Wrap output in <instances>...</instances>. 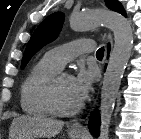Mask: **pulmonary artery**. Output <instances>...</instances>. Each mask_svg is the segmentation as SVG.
Here are the masks:
<instances>
[{"label": "pulmonary artery", "instance_id": "1", "mask_svg": "<svg viewBox=\"0 0 141 139\" xmlns=\"http://www.w3.org/2000/svg\"><path fill=\"white\" fill-rule=\"evenodd\" d=\"M94 49V41L81 39L55 47L49 50L44 57L61 69L76 56L83 53H90Z\"/></svg>", "mask_w": 141, "mask_h": 139}]
</instances>
